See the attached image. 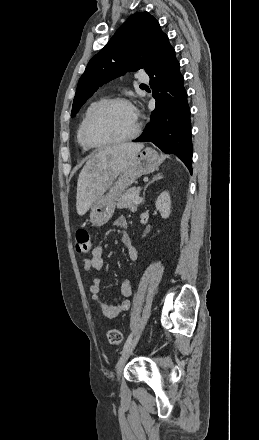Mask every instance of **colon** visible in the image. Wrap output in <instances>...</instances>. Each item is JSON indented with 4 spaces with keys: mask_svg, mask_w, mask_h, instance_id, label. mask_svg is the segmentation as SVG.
Here are the masks:
<instances>
[{
    "mask_svg": "<svg viewBox=\"0 0 259 440\" xmlns=\"http://www.w3.org/2000/svg\"><path fill=\"white\" fill-rule=\"evenodd\" d=\"M92 249V241L86 229H78L76 232V250L80 254L89 253ZM107 339L112 345H120L123 341V334L117 328H110L107 331Z\"/></svg>",
    "mask_w": 259,
    "mask_h": 440,
    "instance_id": "colon-1",
    "label": "colon"
}]
</instances>
